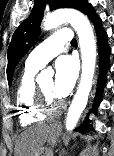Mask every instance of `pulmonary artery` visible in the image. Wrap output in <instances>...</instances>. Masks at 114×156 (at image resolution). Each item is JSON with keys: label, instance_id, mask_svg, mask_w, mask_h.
Instances as JSON below:
<instances>
[{"label": "pulmonary artery", "instance_id": "1", "mask_svg": "<svg viewBox=\"0 0 114 156\" xmlns=\"http://www.w3.org/2000/svg\"><path fill=\"white\" fill-rule=\"evenodd\" d=\"M71 39L72 32L68 28L55 32L28 55L26 63L42 68L51 59L63 52L64 45Z\"/></svg>", "mask_w": 114, "mask_h": 156}]
</instances>
